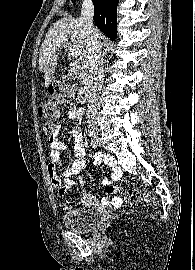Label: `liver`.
Here are the masks:
<instances>
[{
  "instance_id": "obj_1",
  "label": "liver",
  "mask_w": 195,
  "mask_h": 270,
  "mask_svg": "<svg viewBox=\"0 0 195 270\" xmlns=\"http://www.w3.org/2000/svg\"><path fill=\"white\" fill-rule=\"evenodd\" d=\"M65 39L70 40L71 46L85 56L87 34L81 18H61L46 33L39 53V70L44 73L45 87L52 82L57 67V50L61 45L66 46Z\"/></svg>"
}]
</instances>
